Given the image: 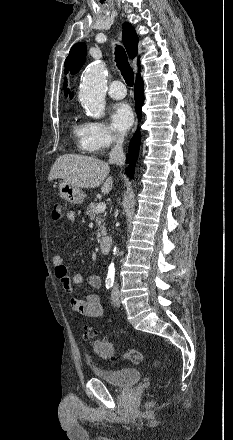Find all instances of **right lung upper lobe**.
I'll list each match as a JSON object with an SVG mask.
<instances>
[{
    "label": "right lung upper lobe",
    "mask_w": 233,
    "mask_h": 440,
    "mask_svg": "<svg viewBox=\"0 0 233 440\" xmlns=\"http://www.w3.org/2000/svg\"><path fill=\"white\" fill-rule=\"evenodd\" d=\"M122 39L129 57L133 59L137 55V51H138V36L132 25L128 22H125L123 24ZM85 59H86L85 43L75 44L71 48L69 55L65 60V73L67 74L68 72H70L72 75L76 74L84 64ZM66 86H67V80L65 79L64 81L65 96H67L69 93V89H66ZM72 97H73V93L70 95V98Z\"/></svg>",
    "instance_id": "1"
}]
</instances>
